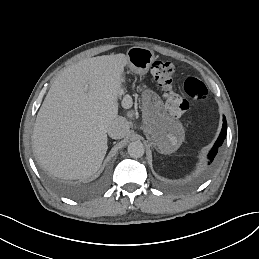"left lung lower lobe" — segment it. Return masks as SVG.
<instances>
[{
  "label": "left lung lower lobe",
  "mask_w": 259,
  "mask_h": 259,
  "mask_svg": "<svg viewBox=\"0 0 259 259\" xmlns=\"http://www.w3.org/2000/svg\"><path fill=\"white\" fill-rule=\"evenodd\" d=\"M227 133V122L226 118L223 117V127L222 131L219 135V138L217 139L215 145L213 146L212 150L208 154L209 163L212 162L218 152V148L222 145Z\"/></svg>",
  "instance_id": "left-lung-lower-lobe-1"
}]
</instances>
